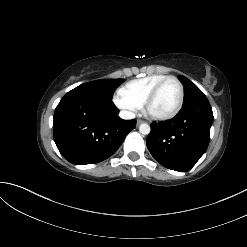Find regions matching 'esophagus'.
<instances>
[{
    "instance_id": "esophagus-1",
    "label": "esophagus",
    "mask_w": 247,
    "mask_h": 247,
    "mask_svg": "<svg viewBox=\"0 0 247 247\" xmlns=\"http://www.w3.org/2000/svg\"><path fill=\"white\" fill-rule=\"evenodd\" d=\"M142 123H143L142 120H137V125H140V124H142Z\"/></svg>"
}]
</instances>
